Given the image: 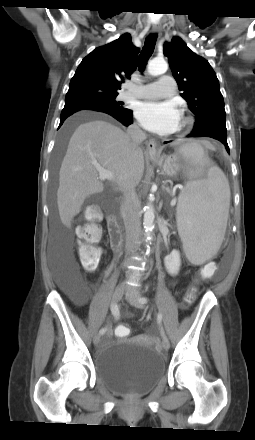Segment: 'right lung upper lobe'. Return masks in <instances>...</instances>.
<instances>
[{
    "label": "right lung upper lobe",
    "mask_w": 255,
    "mask_h": 440,
    "mask_svg": "<svg viewBox=\"0 0 255 440\" xmlns=\"http://www.w3.org/2000/svg\"><path fill=\"white\" fill-rule=\"evenodd\" d=\"M138 53L129 33L94 49L79 64L65 100L76 101L93 93L118 94L124 78L136 68Z\"/></svg>",
    "instance_id": "cb5924a9"
}]
</instances>
